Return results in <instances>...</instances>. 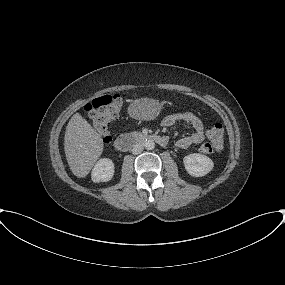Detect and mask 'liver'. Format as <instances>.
Segmentation results:
<instances>
[{
    "instance_id": "obj_1",
    "label": "liver",
    "mask_w": 285,
    "mask_h": 285,
    "mask_svg": "<svg viewBox=\"0 0 285 285\" xmlns=\"http://www.w3.org/2000/svg\"><path fill=\"white\" fill-rule=\"evenodd\" d=\"M64 150L70 170L78 178L86 177L102 154L100 134L79 113H75L68 122Z\"/></svg>"
}]
</instances>
